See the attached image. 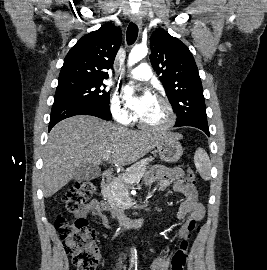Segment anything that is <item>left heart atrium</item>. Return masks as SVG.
<instances>
[{
	"label": "left heart atrium",
	"mask_w": 267,
	"mask_h": 270,
	"mask_svg": "<svg viewBox=\"0 0 267 270\" xmlns=\"http://www.w3.org/2000/svg\"><path fill=\"white\" fill-rule=\"evenodd\" d=\"M124 97L128 105L139 115H143L156 100L150 90H145L141 95L136 94L134 86H126L123 89Z\"/></svg>",
	"instance_id": "1"
}]
</instances>
